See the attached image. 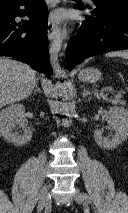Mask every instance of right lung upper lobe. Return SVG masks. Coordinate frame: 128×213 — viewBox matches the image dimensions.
<instances>
[{"label": "right lung upper lobe", "mask_w": 128, "mask_h": 213, "mask_svg": "<svg viewBox=\"0 0 128 213\" xmlns=\"http://www.w3.org/2000/svg\"><path fill=\"white\" fill-rule=\"evenodd\" d=\"M17 0H0V5H4V4H10L13 3Z\"/></svg>", "instance_id": "1"}]
</instances>
